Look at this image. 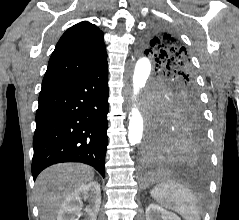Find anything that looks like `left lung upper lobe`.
<instances>
[{"mask_svg": "<svg viewBox=\"0 0 239 220\" xmlns=\"http://www.w3.org/2000/svg\"><path fill=\"white\" fill-rule=\"evenodd\" d=\"M140 44L144 53L152 55L156 66L169 78L158 93V108L164 112L189 109L201 112L193 64L176 34L154 25L143 34Z\"/></svg>", "mask_w": 239, "mask_h": 220, "instance_id": "5c2ea615", "label": "left lung upper lobe"}]
</instances>
